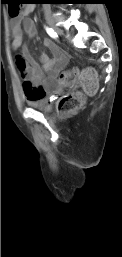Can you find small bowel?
I'll use <instances>...</instances> for the list:
<instances>
[{"mask_svg":"<svg viewBox=\"0 0 122 257\" xmlns=\"http://www.w3.org/2000/svg\"><path fill=\"white\" fill-rule=\"evenodd\" d=\"M33 10V5H26L10 23L12 49H22V52H13V57L16 69L23 79V93L28 101L45 98L49 92L57 88L55 80L58 79V74H62L61 71L68 60L66 52L50 39L43 42L50 55L40 54L41 65L32 57L28 44L23 42V32L29 38H34L37 34L35 24L29 18Z\"/></svg>","mask_w":122,"mask_h":257,"instance_id":"obj_1","label":"small bowel"}]
</instances>
